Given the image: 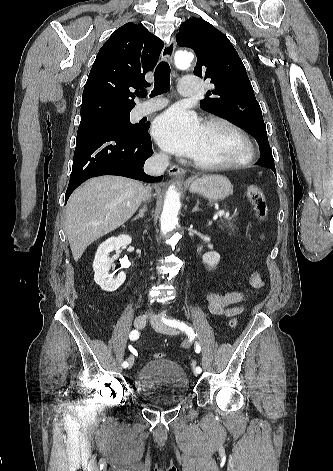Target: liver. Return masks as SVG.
Returning a JSON list of instances; mask_svg holds the SVG:
<instances>
[{"instance_id": "1", "label": "liver", "mask_w": 333, "mask_h": 471, "mask_svg": "<svg viewBox=\"0 0 333 471\" xmlns=\"http://www.w3.org/2000/svg\"><path fill=\"white\" fill-rule=\"evenodd\" d=\"M144 189L138 181L107 175L92 178L74 191L67 203L65 231L75 261L91 243L133 216Z\"/></svg>"}]
</instances>
